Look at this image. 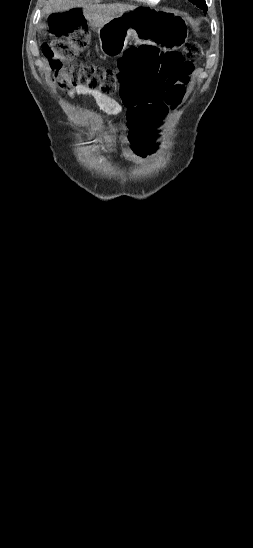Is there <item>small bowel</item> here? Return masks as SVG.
<instances>
[{
  "label": "small bowel",
  "mask_w": 253,
  "mask_h": 548,
  "mask_svg": "<svg viewBox=\"0 0 253 548\" xmlns=\"http://www.w3.org/2000/svg\"><path fill=\"white\" fill-rule=\"evenodd\" d=\"M152 60H163L162 58L156 57ZM82 95H89L91 96L97 103V105L100 107L101 110H103L105 113H107L112 119L109 122V130L108 132L103 136L102 143L104 144L107 153H113L115 150V137L113 134V131L117 128H119L123 123L121 120L118 119V116L121 114L123 107L112 97L102 94L99 91L91 90L85 86L78 85L73 91L70 92L69 97L71 99H76ZM127 109V125L128 127L125 129V133L123 136L124 142L126 143L127 147L125 149L124 155L126 159L134 162H143L148 157L145 158H138L136 156V150L133 148V142L130 141L129 136L132 132L131 126L128 123V106L124 105ZM159 121H157L158 123ZM156 124H153V126ZM152 126V127H153ZM151 127V128H152ZM150 129V128H148Z\"/></svg>",
  "instance_id": "small-bowel-1"
}]
</instances>
